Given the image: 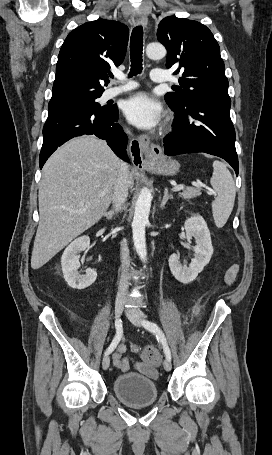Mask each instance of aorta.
Wrapping results in <instances>:
<instances>
[{
    "mask_svg": "<svg viewBox=\"0 0 272 455\" xmlns=\"http://www.w3.org/2000/svg\"><path fill=\"white\" fill-rule=\"evenodd\" d=\"M146 55L153 60L165 57L166 49L159 43H150L146 47ZM152 195L148 188H143L138 196L135 205L134 218L132 222L133 241L136 252L143 262H146L147 250L145 239V227L151 208Z\"/></svg>",
    "mask_w": 272,
    "mask_h": 455,
    "instance_id": "obj_1",
    "label": "aorta"
}]
</instances>
